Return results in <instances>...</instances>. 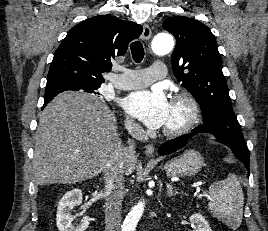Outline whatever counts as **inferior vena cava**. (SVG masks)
Segmentation results:
<instances>
[{
  "label": "inferior vena cava",
  "mask_w": 268,
  "mask_h": 231,
  "mask_svg": "<svg viewBox=\"0 0 268 231\" xmlns=\"http://www.w3.org/2000/svg\"><path fill=\"white\" fill-rule=\"evenodd\" d=\"M126 128L133 137L139 138L142 134L141 128L128 122ZM136 151L134 141L128 139V146L112 153L110 159L104 167L105 181V231L121 230V209L123 199V185L125 164L136 160Z\"/></svg>",
  "instance_id": "obj_1"
}]
</instances>
